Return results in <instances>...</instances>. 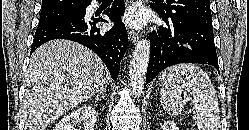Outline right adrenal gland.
<instances>
[{
	"label": "right adrenal gland",
	"instance_id": "right-adrenal-gland-1",
	"mask_svg": "<svg viewBox=\"0 0 249 130\" xmlns=\"http://www.w3.org/2000/svg\"><path fill=\"white\" fill-rule=\"evenodd\" d=\"M104 92H105V89L100 90V92L98 93V95L95 96V99H96L97 101H100V97L102 96V93H104Z\"/></svg>",
	"mask_w": 249,
	"mask_h": 130
}]
</instances>
